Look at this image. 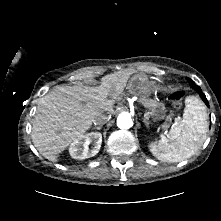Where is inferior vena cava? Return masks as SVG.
Masks as SVG:
<instances>
[{
    "label": "inferior vena cava",
    "instance_id": "602c4592",
    "mask_svg": "<svg viewBox=\"0 0 221 221\" xmlns=\"http://www.w3.org/2000/svg\"><path fill=\"white\" fill-rule=\"evenodd\" d=\"M109 119H110V115L100 113L93 119V123L94 125L100 126V125L105 124Z\"/></svg>",
    "mask_w": 221,
    "mask_h": 221
}]
</instances>
